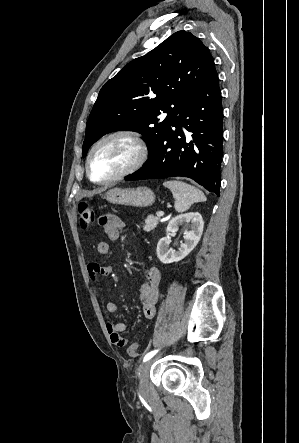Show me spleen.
Instances as JSON below:
<instances>
[{"label":"spleen","instance_id":"obj_1","mask_svg":"<svg viewBox=\"0 0 299 443\" xmlns=\"http://www.w3.org/2000/svg\"><path fill=\"white\" fill-rule=\"evenodd\" d=\"M163 186L172 192L175 199L174 207L179 213L185 212L194 203L206 201V196L201 190L185 182L165 181Z\"/></svg>","mask_w":299,"mask_h":443}]
</instances>
